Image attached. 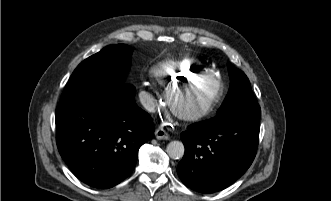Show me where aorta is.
Listing matches in <instances>:
<instances>
[{"mask_svg": "<svg viewBox=\"0 0 331 201\" xmlns=\"http://www.w3.org/2000/svg\"><path fill=\"white\" fill-rule=\"evenodd\" d=\"M185 152V147L180 141H171L167 145V153L172 159L182 158Z\"/></svg>", "mask_w": 331, "mask_h": 201, "instance_id": "aorta-1", "label": "aorta"}]
</instances>
